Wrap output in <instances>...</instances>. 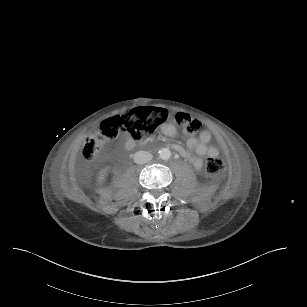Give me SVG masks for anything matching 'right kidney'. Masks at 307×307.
<instances>
[{"label": "right kidney", "mask_w": 307, "mask_h": 307, "mask_svg": "<svg viewBox=\"0 0 307 307\" xmlns=\"http://www.w3.org/2000/svg\"><path fill=\"white\" fill-rule=\"evenodd\" d=\"M99 182H101V181H103L104 180V177L101 175V176H99Z\"/></svg>", "instance_id": "ca27d5eb"}]
</instances>
